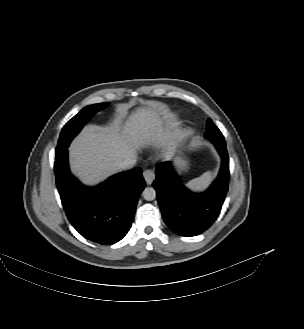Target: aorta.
<instances>
[{
	"label": "aorta",
	"mask_w": 304,
	"mask_h": 329,
	"mask_svg": "<svg viewBox=\"0 0 304 329\" xmlns=\"http://www.w3.org/2000/svg\"><path fill=\"white\" fill-rule=\"evenodd\" d=\"M142 196L147 201H152L156 198V191L152 187H146L143 192Z\"/></svg>",
	"instance_id": "762f6f07"
}]
</instances>
